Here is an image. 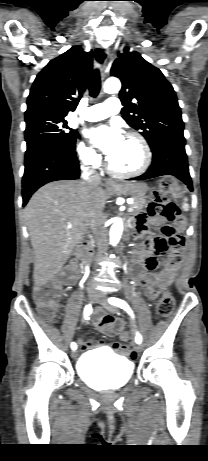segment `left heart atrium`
Segmentation results:
<instances>
[{"mask_svg":"<svg viewBox=\"0 0 208 461\" xmlns=\"http://www.w3.org/2000/svg\"><path fill=\"white\" fill-rule=\"evenodd\" d=\"M90 138L95 146L110 157L117 151L124 137L116 127L101 125L92 129Z\"/></svg>","mask_w":208,"mask_h":461,"instance_id":"left-heart-atrium-1","label":"left heart atrium"}]
</instances>
